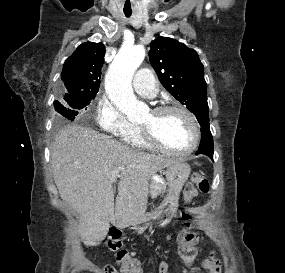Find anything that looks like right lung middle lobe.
<instances>
[{"instance_id": "obj_1", "label": "right lung middle lobe", "mask_w": 285, "mask_h": 273, "mask_svg": "<svg viewBox=\"0 0 285 273\" xmlns=\"http://www.w3.org/2000/svg\"><path fill=\"white\" fill-rule=\"evenodd\" d=\"M96 95H91L87 97H69L65 98V102L61 103L59 101L54 102V107L59 113V119L62 120L63 117L74 120L75 116L78 115V110L83 108L87 109V106L90 104L91 100L95 98Z\"/></svg>"}]
</instances>
